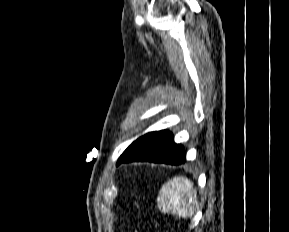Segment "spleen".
<instances>
[{
	"instance_id": "obj_1",
	"label": "spleen",
	"mask_w": 289,
	"mask_h": 232,
	"mask_svg": "<svg viewBox=\"0 0 289 232\" xmlns=\"http://www.w3.org/2000/svg\"><path fill=\"white\" fill-rule=\"evenodd\" d=\"M157 205L163 213L192 217L198 206L197 191L187 177L175 176L161 187Z\"/></svg>"
}]
</instances>
